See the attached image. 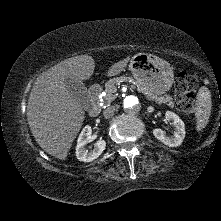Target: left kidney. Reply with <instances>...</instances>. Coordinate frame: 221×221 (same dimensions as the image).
Wrapping results in <instances>:
<instances>
[{
	"label": "left kidney",
	"instance_id": "5707ae66",
	"mask_svg": "<svg viewBox=\"0 0 221 221\" xmlns=\"http://www.w3.org/2000/svg\"><path fill=\"white\" fill-rule=\"evenodd\" d=\"M165 117L168 121H172L175 131L172 137L165 135V132L162 129L156 128L153 130V135L156 139L168 145L170 147L180 146L185 138V125L184 122L180 119L178 115L171 111L165 113Z\"/></svg>",
	"mask_w": 221,
	"mask_h": 221
}]
</instances>
